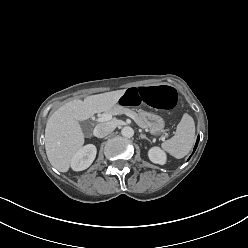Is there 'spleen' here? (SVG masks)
Instances as JSON below:
<instances>
[{
    "label": "spleen",
    "mask_w": 248,
    "mask_h": 248,
    "mask_svg": "<svg viewBox=\"0 0 248 248\" xmlns=\"http://www.w3.org/2000/svg\"><path fill=\"white\" fill-rule=\"evenodd\" d=\"M195 141V123L189 114H184L177 125L175 135L162 143V148L173 157L180 159L186 156Z\"/></svg>",
    "instance_id": "1"
}]
</instances>
